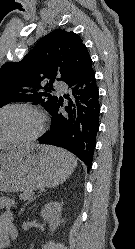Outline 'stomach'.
<instances>
[{
	"label": "stomach",
	"instance_id": "stomach-1",
	"mask_svg": "<svg viewBox=\"0 0 135 249\" xmlns=\"http://www.w3.org/2000/svg\"><path fill=\"white\" fill-rule=\"evenodd\" d=\"M56 148L41 145L0 146V191H31L54 187L66 180L74 169Z\"/></svg>",
	"mask_w": 135,
	"mask_h": 249
}]
</instances>
